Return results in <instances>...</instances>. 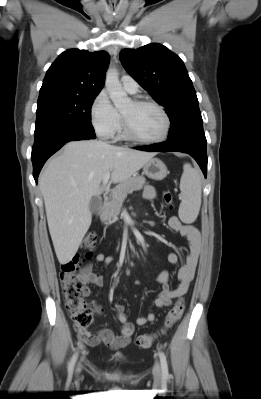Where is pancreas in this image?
<instances>
[{
  "label": "pancreas",
  "mask_w": 261,
  "mask_h": 399,
  "mask_svg": "<svg viewBox=\"0 0 261 399\" xmlns=\"http://www.w3.org/2000/svg\"><path fill=\"white\" fill-rule=\"evenodd\" d=\"M145 184L146 179L143 176H134L119 184L112 191V200L101 213V221L105 224L115 222L127 195L133 191L141 190Z\"/></svg>",
  "instance_id": "obj_1"
}]
</instances>
